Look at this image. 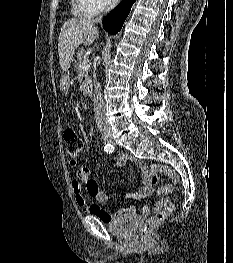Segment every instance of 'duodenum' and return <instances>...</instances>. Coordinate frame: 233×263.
<instances>
[{
	"instance_id": "410a0bca",
	"label": "duodenum",
	"mask_w": 233,
	"mask_h": 263,
	"mask_svg": "<svg viewBox=\"0 0 233 263\" xmlns=\"http://www.w3.org/2000/svg\"><path fill=\"white\" fill-rule=\"evenodd\" d=\"M83 82H84V91L92 92L93 91V88L91 87L92 78H87V76H84Z\"/></svg>"
}]
</instances>
